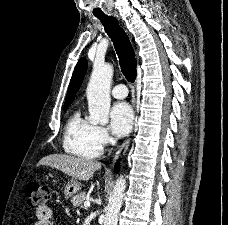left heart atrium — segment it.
Wrapping results in <instances>:
<instances>
[{"label":"left heart atrium","instance_id":"39dd6f15","mask_svg":"<svg viewBox=\"0 0 228 225\" xmlns=\"http://www.w3.org/2000/svg\"><path fill=\"white\" fill-rule=\"evenodd\" d=\"M110 126L116 136L126 135L133 123V111L126 102H118L110 109Z\"/></svg>","mask_w":228,"mask_h":225}]
</instances>
